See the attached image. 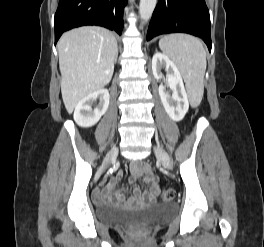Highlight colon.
Returning <instances> with one entry per match:
<instances>
[{"label": "colon", "mask_w": 264, "mask_h": 247, "mask_svg": "<svg viewBox=\"0 0 264 247\" xmlns=\"http://www.w3.org/2000/svg\"><path fill=\"white\" fill-rule=\"evenodd\" d=\"M174 198V191L171 190V189H167V190H164L162 191L160 194H159V200L161 202H166V201H170Z\"/></svg>", "instance_id": "obj_1"}]
</instances>
